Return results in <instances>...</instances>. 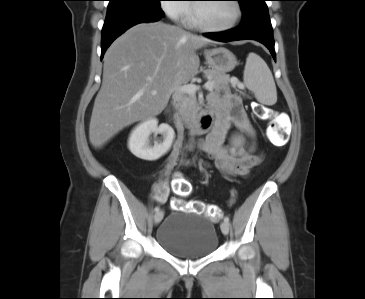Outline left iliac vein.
<instances>
[{
    "label": "left iliac vein",
    "instance_id": "obj_1",
    "mask_svg": "<svg viewBox=\"0 0 365 299\" xmlns=\"http://www.w3.org/2000/svg\"><path fill=\"white\" fill-rule=\"evenodd\" d=\"M220 227H221V231L224 235H227L229 233V227H230L229 223L224 221L221 223Z\"/></svg>",
    "mask_w": 365,
    "mask_h": 299
}]
</instances>
